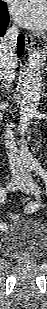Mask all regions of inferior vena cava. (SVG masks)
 Here are the masks:
<instances>
[{
  "instance_id": "inferior-vena-cava-1",
  "label": "inferior vena cava",
  "mask_w": 47,
  "mask_h": 309,
  "mask_svg": "<svg viewBox=\"0 0 47 309\" xmlns=\"http://www.w3.org/2000/svg\"><path fill=\"white\" fill-rule=\"evenodd\" d=\"M18 32V28L13 25L6 32L5 36L0 39V79L7 84H11L15 78V61L17 60L15 46ZM5 139L9 161L13 167L19 168L20 166L17 163L19 155L9 128L6 132Z\"/></svg>"
}]
</instances>
